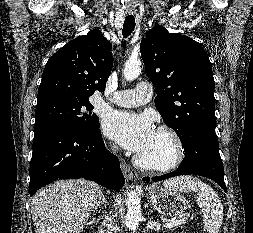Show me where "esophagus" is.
<instances>
[{"label":"esophagus","instance_id":"1","mask_svg":"<svg viewBox=\"0 0 253 233\" xmlns=\"http://www.w3.org/2000/svg\"><path fill=\"white\" fill-rule=\"evenodd\" d=\"M126 13L133 14L134 12L127 11ZM121 168H122V171H123V174H124V177L126 178V180H128V181L133 180L134 174H133L132 170L130 169V167L124 161H121Z\"/></svg>","mask_w":253,"mask_h":233}]
</instances>
